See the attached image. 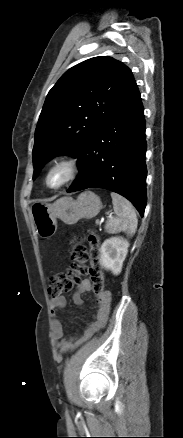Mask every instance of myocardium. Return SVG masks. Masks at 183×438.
Masks as SVG:
<instances>
[{
    "mask_svg": "<svg viewBox=\"0 0 183 438\" xmlns=\"http://www.w3.org/2000/svg\"><path fill=\"white\" fill-rule=\"evenodd\" d=\"M57 168H61L65 170L66 177L65 179L57 186H51L48 182V178L50 173ZM79 170V165L76 159L72 157H63L60 159L55 160L47 169L45 176H44V182L45 185L51 189V190H58L66 186L68 183H70L74 178L76 177Z\"/></svg>",
    "mask_w": 183,
    "mask_h": 438,
    "instance_id": "1",
    "label": "myocardium"
}]
</instances>
